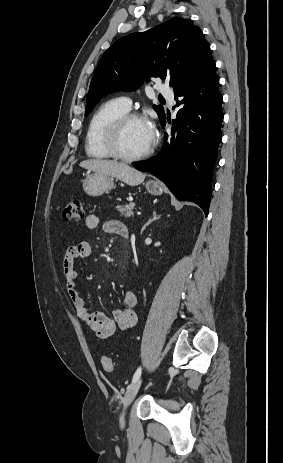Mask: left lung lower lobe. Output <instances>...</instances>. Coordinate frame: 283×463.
Returning a JSON list of instances; mask_svg holds the SVG:
<instances>
[{
    "label": "left lung lower lobe",
    "mask_w": 283,
    "mask_h": 463,
    "mask_svg": "<svg viewBox=\"0 0 283 463\" xmlns=\"http://www.w3.org/2000/svg\"><path fill=\"white\" fill-rule=\"evenodd\" d=\"M213 62L204 72L174 90L178 112L172 134L160 154L134 163L163 181L179 200L198 204L209 213L213 168L221 141L222 95ZM166 124V118L162 126Z\"/></svg>",
    "instance_id": "obj_1"
}]
</instances>
